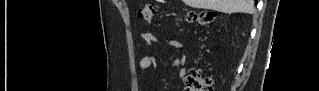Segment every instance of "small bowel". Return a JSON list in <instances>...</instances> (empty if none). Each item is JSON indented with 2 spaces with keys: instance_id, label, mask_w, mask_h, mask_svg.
<instances>
[{
  "instance_id": "small-bowel-1",
  "label": "small bowel",
  "mask_w": 319,
  "mask_h": 91,
  "mask_svg": "<svg viewBox=\"0 0 319 91\" xmlns=\"http://www.w3.org/2000/svg\"><path fill=\"white\" fill-rule=\"evenodd\" d=\"M142 39L147 45H154L158 43L157 37L151 32H144L142 34ZM166 46L173 49H181L183 43L178 39H168L164 43ZM187 61V57L182 55L172 61V66L178 69V75L181 79L186 77V68L184 67ZM157 64L156 58L154 56H145L141 58L139 62V68L142 70L154 68Z\"/></svg>"
}]
</instances>
